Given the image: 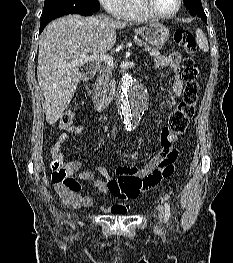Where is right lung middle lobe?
<instances>
[{
	"label": "right lung middle lobe",
	"mask_w": 233,
	"mask_h": 263,
	"mask_svg": "<svg viewBox=\"0 0 233 263\" xmlns=\"http://www.w3.org/2000/svg\"><path fill=\"white\" fill-rule=\"evenodd\" d=\"M81 8L98 11V0H45L41 21H51L57 17L76 14Z\"/></svg>",
	"instance_id": "1"
}]
</instances>
